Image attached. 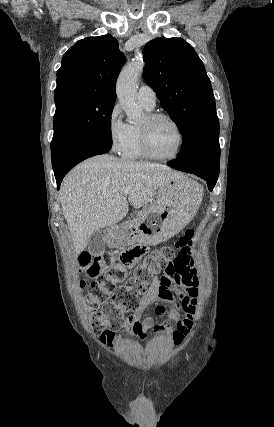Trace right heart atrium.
<instances>
[{
	"label": "right heart atrium",
	"instance_id": "obj_1",
	"mask_svg": "<svg viewBox=\"0 0 274 427\" xmlns=\"http://www.w3.org/2000/svg\"><path fill=\"white\" fill-rule=\"evenodd\" d=\"M129 125L122 119L119 105H114L106 119V131L112 151L121 152L129 138Z\"/></svg>",
	"mask_w": 274,
	"mask_h": 427
}]
</instances>
